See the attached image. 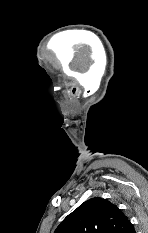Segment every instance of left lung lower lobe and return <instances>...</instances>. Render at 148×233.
Wrapping results in <instances>:
<instances>
[{"instance_id":"1","label":"left lung lower lobe","mask_w":148,"mask_h":233,"mask_svg":"<svg viewBox=\"0 0 148 233\" xmlns=\"http://www.w3.org/2000/svg\"><path fill=\"white\" fill-rule=\"evenodd\" d=\"M129 233H135V229H131V231Z\"/></svg>"}]
</instances>
